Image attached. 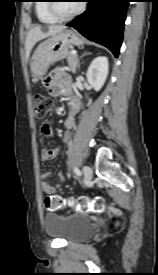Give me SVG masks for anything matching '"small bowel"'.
<instances>
[{
	"label": "small bowel",
	"instance_id": "obj_1",
	"mask_svg": "<svg viewBox=\"0 0 158 275\" xmlns=\"http://www.w3.org/2000/svg\"><path fill=\"white\" fill-rule=\"evenodd\" d=\"M48 90L51 96L56 95H67L70 91V79L65 74L62 68H57L52 71L48 78ZM70 114L67 120L65 121V128L66 131L63 134V142L68 143L71 138V129L74 125V116L79 110L80 104L79 101L74 98L70 97L68 100ZM53 124L51 121H46L41 126V132L45 137H50L52 135ZM59 149L58 148H50L44 149L42 151V159L43 160H51L58 156ZM49 173L44 172L41 174V189L45 194H53L58 189L59 185H52L50 184L47 179L49 178ZM59 179L60 182H65V177L62 172H59Z\"/></svg>",
	"mask_w": 158,
	"mask_h": 275
}]
</instances>
